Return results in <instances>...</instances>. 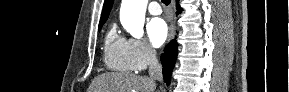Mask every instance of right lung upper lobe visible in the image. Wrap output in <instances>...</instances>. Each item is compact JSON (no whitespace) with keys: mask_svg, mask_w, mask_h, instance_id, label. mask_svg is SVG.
<instances>
[{"mask_svg":"<svg viewBox=\"0 0 289 92\" xmlns=\"http://www.w3.org/2000/svg\"><path fill=\"white\" fill-rule=\"evenodd\" d=\"M112 4H113V0H105L99 25L104 24L106 22L109 16L110 10L112 8Z\"/></svg>","mask_w":289,"mask_h":92,"instance_id":"obj_1","label":"right lung upper lobe"}]
</instances>
